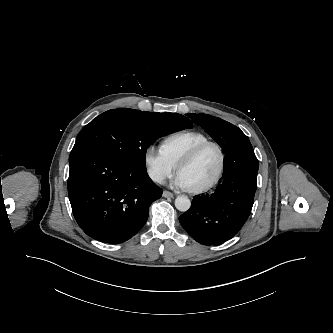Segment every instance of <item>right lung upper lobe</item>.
I'll return each instance as SVG.
<instances>
[{
  "label": "right lung upper lobe",
  "instance_id": "obj_1",
  "mask_svg": "<svg viewBox=\"0 0 333 333\" xmlns=\"http://www.w3.org/2000/svg\"><path fill=\"white\" fill-rule=\"evenodd\" d=\"M145 116H148V117H151V118H157V119H161V118H164V117H167V116H170V114L171 113H154V112H146V111H141ZM178 115V117H180L182 120H184L185 122H187L188 124H191V125H193L192 124V122L188 119V118H186V117H184V116H182V115H180V114H177Z\"/></svg>",
  "mask_w": 333,
  "mask_h": 333
}]
</instances>
